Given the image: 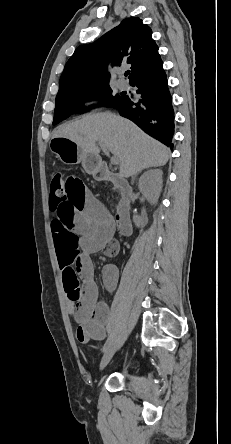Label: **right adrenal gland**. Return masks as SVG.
Segmentation results:
<instances>
[{"mask_svg":"<svg viewBox=\"0 0 231 444\" xmlns=\"http://www.w3.org/2000/svg\"><path fill=\"white\" fill-rule=\"evenodd\" d=\"M135 177H136V174L134 175V177H132V184H133V180L135 179Z\"/></svg>","mask_w":231,"mask_h":444,"instance_id":"right-adrenal-gland-1","label":"right adrenal gland"}]
</instances>
